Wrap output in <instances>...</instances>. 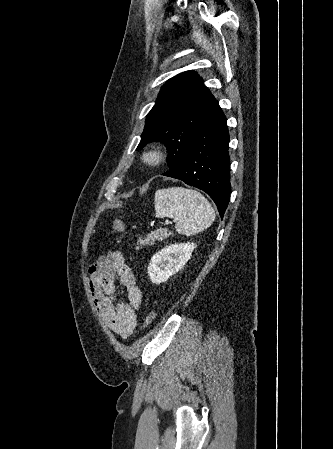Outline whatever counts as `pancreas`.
Returning a JSON list of instances; mask_svg holds the SVG:
<instances>
[{"label": "pancreas", "mask_w": 333, "mask_h": 449, "mask_svg": "<svg viewBox=\"0 0 333 449\" xmlns=\"http://www.w3.org/2000/svg\"><path fill=\"white\" fill-rule=\"evenodd\" d=\"M171 235L168 229H161L157 231H152L144 240L139 239L137 249L144 246H152L157 240H163Z\"/></svg>", "instance_id": "1"}]
</instances>
